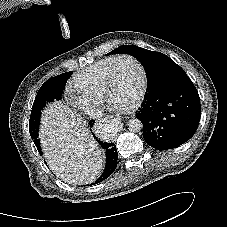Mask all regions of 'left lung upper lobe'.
<instances>
[{
    "mask_svg": "<svg viewBox=\"0 0 227 227\" xmlns=\"http://www.w3.org/2000/svg\"><path fill=\"white\" fill-rule=\"evenodd\" d=\"M122 53L130 54L142 63L146 70L150 91L163 86L169 81L186 76L183 69L165 54L138 46L123 45L108 54Z\"/></svg>",
    "mask_w": 227,
    "mask_h": 227,
    "instance_id": "obj_1",
    "label": "left lung upper lobe"
}]
</instances>
